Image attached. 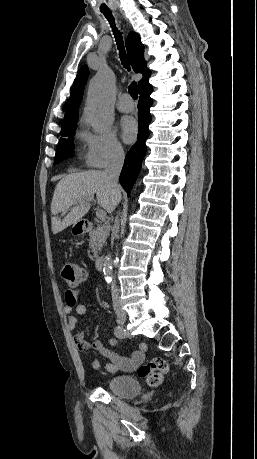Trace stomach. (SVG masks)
Returning <instances> with one entry per match:
<instances>
[{
	"instance_id": "stomach-1",
	"label": "stomach",
	"mask_w": 257,
	"mask_h": 459,
	"mask_svg": "<svg viewBox=\"0 0 257 459\" xmlns=\"http://www.w3.org/2000/svg\"><path fill=\"white\" fill-rule=\"evenodd\" d=\"M73 227H80V226H79V223L74 224ZM80 229H82V228H80Z\"/></svg>"
}]
</instances>
